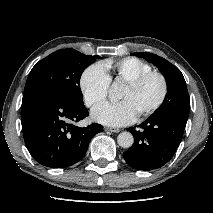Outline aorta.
<instances>
[{"label": "aorta", "mask_w": 213, "mask_h": 213, "mask_svg": "<svg viewBox=\"0 0 213 213\" xmlns=\"http://www.w3.org/2000/svg\"><path fill=\"white\" fill-rule=\"evenodd\" d=\"M119 89V84L117 82L113 83L110 89V97L115 98ZM117 142L122 148H129L134 143L133 135L130 132H121L117 137Z\"/></svg>", "instance_id": "aorta-1"}]
</instances>
